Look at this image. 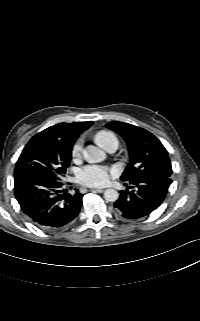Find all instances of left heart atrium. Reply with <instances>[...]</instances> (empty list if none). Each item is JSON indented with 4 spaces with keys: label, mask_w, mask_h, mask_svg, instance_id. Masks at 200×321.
Masks as SVG:
<instances>
[{
    "label": "left heart atrium",
    "mask_w": 200,
    "mask_h": 321,
    "mask_svg": "<svg viewBox=\"0 0 200 321\" xmlns=\"http://www.w3.org/2000/svg\"><path fill=\"white\" fill-rule=\"evenodd\" d=\"M112 175V172L103 166H87L79 172V180L88 186H102Z\"/></svg>",
    "instance_id": "left-heart-atrium-1"
}]
</instances>
